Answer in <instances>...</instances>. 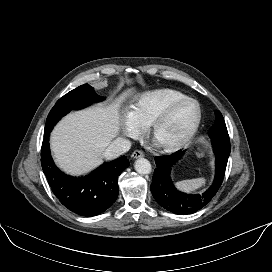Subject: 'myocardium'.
I'll return each instance as SVG.
<instances>
[{"label": "myocardium", "mask_w": 272, "mask_h": 272, "mask_svg": "<svg viewBox=\"0 0 272 272\" xmlns=\"http://www.w3.org/2000/svg\"><path fill=\"white\" fill-rule=\"evenodd\" d=\"M187 102H192L197 107V117H196V120L193 123L191 129L189 130V132L182 139H180L179 141H176V142L164 143V142L159 141L158 133H159V130L161 129V127L163 126V124L167 121V119L170 117L172 112L178 106H180L183 103H187ZM201 121H202V109H201L199 102L194 98L184 97V98L175 100L172 103H170L156 117V119L150 125L149 135H150V138H151V141L153 142V144L161 151L167 152V153L176 152V151H179V150L185 148L187 145H189L191 143V141L193 140V138L195 137V135L199 129Z\"/></svg>", "instance_id": "obj_1"}]
</instances>
